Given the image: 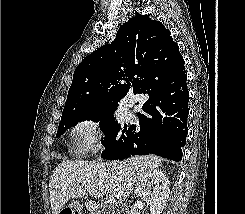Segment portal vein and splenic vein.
<instances>
[{"label":"portal vein and splenic vein","instance_id":"obj_1","mask_svg":"<svg viewBox=\"0 0 245 214\" xmlns=\"http://www.w3.org/2000/svg\"><path fill=\"white\" fill-rule=\"evenodd\" d=\"M84 187H85V189H86L90 194L95 195L96 197H103V194H101L100 192H98V191H97L96 189H94L93 187L88 186V185H86V184H84ZM114 201H115L114 196H111V195L106 196V203L111 204V203H113Z\"/></svg>","mask_w":245,"mask_h":214}]
</instances>
